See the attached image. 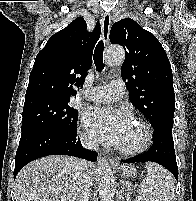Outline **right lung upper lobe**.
<instances>
[{
	"label": "right lung upper lobe",
	"mask_w": 196,
	"mask_h": 201,
	"mask_svg": "<svg viewBox=\"0 0 196 201\" xmlns=\"http://www.w3.org/2000/svg\"><path fill=\"white\" fill-rule=\"evenodd\" d=\"M78 17L51 36L38 53L30 73L26 99L49 97L68 99L76 96L87 70L92 65V52L101 32L97 22L93 32Z\"/></svg>",
	"instance_id": "right-lung-upper-lobe-1"
}]
</instances>
